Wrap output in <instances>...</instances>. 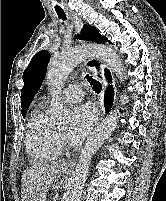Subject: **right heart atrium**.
Returning a JSON list of instances; mask_svg holds the SVG:
<instances>
[{"label":"right heart atrium","mask_w":166,"mask_h":201,"mask_svg":"<svg viewBox=\"0 0 166 201\" xmlns=\"http://www.w3.org/2000/svg\"><path fill=\"white\" fill-rule=\"evenodd\" d=\"M64 142V138H61V143H63Z\"/></svg>","instance_id":"right-heart-atrium-1"}]
</instances>
